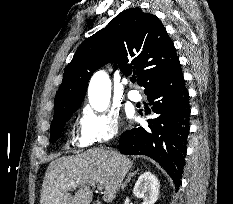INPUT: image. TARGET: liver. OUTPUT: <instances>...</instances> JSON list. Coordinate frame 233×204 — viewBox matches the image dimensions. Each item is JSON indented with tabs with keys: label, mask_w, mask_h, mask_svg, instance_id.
<instances>
[{
	"label": "liver",
	"mask_w": 233,
	"mask_h": 204,
	"mask_svg": "<svg viewBox=\"0 0 233 204\" xmlns=\"http://www.w3.org/2000/svg\"><path fill=\"white\" fill-rule=\"evenodd\" d=\"M132 165L133 161L117 151L99 148L59 157L46 170L40 204H90L92 184L102 185L103 200L110 203ZM77 187L74 196L68 193Z\"/></svg>",
	"instance_id": "1"
}]
</instances>
